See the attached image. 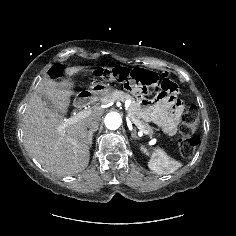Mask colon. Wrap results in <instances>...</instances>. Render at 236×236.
<instances>
[{
  "mask_svg": "<svg viewBox=\"0 0 236 236\" xmlns=\"http://www.w3.org/2000/svg\"><path fill=\"white\" fill-rule=\"evenodd\" d=\"M62 74V67L54 65L50 75L57 78ZM96 76L106 82H118L128 91L136 95L166 94L174 96L175 86L170 81L159 79L158 76L140 70H130L125 67L115 66L100 68ZM200 122L199 112L190 107L183 115L180 126L179 150L182 156L191 157L200 143V138L194 131Z\"/></svg>",
  "mask_w": 236,
  "mask_h": 236,
  "instance_id": "5ec220e1",
  "label": "colon"
}]
</instances>
